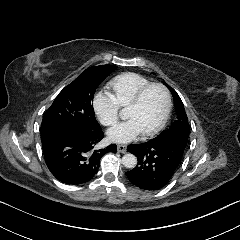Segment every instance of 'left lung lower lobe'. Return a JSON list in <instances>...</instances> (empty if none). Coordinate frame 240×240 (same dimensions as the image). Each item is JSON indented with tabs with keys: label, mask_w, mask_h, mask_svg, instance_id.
I'll return each instance as SVG.
<instances>
[{
	"label": "left lung lower lobe",
	"mask_w": 240,
	"mask_h": 240,
	"mask_svg": "<svg viewBox=\"0 0 240 240\" xmlns=\"http://www.w3.org/2000/svg\"><path fill=\"white\" fill-rule=\"evenodd\" d=\"M187 144L180 140H150L128 145L138 165L126 172L130 182L143 190H158L167 185L182 159Z\"/></svg>",
	"instance_id": "left-lung-lower-lobe-1"
}]
</instances>
